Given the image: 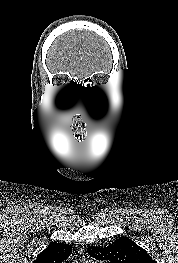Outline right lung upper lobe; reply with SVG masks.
Here are the masks:
<instances>
[{
	"mask_svg": "<svg viewBox=\"0 0 178 263\" xmlns=\"http://www.w3.org/2000/svg\"><path fill=\"white\" fill-rule=\"evenodd\" d=\"M71 250V245L53 242L38 254L33 263H63L70 255Z\"/></svg>",
	"mask_w": 178,
	"mask_h": 263,
	"instance_id": "right-lung-upper-lobe-1",
	"label": "right lung upper lobe"
}]
</instances>
